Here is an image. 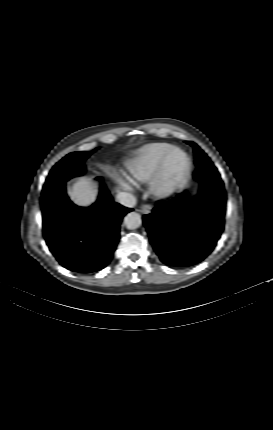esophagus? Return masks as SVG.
I'll return each instance as SVG.
<instances>
[{
	"mask_svg": "<svg viewBox=\"0 0 273 430\" xmlns=\"http://www.w3.org/2000/svg\"><path fill=\"white\" fill-rule=\"evenodd\" d=\"M151 209H152V207H151V205H149V204H144V205H142L141 206V208H140V212L142 213V214H149L150 212H151Z\"/></svg>",
	"mask_w": 273,
	"mask_h": 430,
	"instance_id": "34e87169",
	"label": "esophagus"
}]
</instances>
